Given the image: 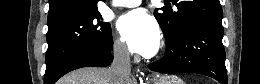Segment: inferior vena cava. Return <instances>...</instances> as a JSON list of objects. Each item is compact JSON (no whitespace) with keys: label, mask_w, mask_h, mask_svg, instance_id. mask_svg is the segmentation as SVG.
Wrapping results in <instances>:
<instances>
[{"label":"inferior vena cava","mask_w":260,"mask_h":84,"mask_svg":"<svg viewBox=\"0 0 260 84\" xmlns=\"http://www.w3.org/2000/svg\"><path fill=\"white\" fill-rule=\"evenodd\" d=\"M113 62L110 70L116 84H125L131 73L130 53L126 48L117 47L114 50Z\"/></svg>","instance_id":"1"}]
</instances>
